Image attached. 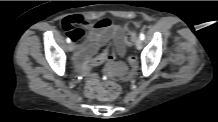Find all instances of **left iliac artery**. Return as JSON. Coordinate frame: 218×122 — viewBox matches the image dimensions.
Returning a JSON list of instances; mask_svg holds the SVG:
<instances>
[{"instance_id":"1","label":"left iliac artery","mask_w":218,"mask_h":122,"mask_svg":"<svg viewBox=\"0 0 218 122\" xmlns=\"http://www.w3.org/2000/svg\"><path fill=\"white\" fill-rule=\"evenodd\" d=\"M140 39H141V40H144V39H145V35H144L143 32L140 33Z\"/></svg>"}]
</instances>
